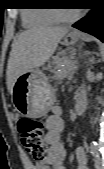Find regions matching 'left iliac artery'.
<instances>
[{
	"label": "left iliac artery",
	"instance_id": "1",
	"mask_svg": "<svg viewBox=\"0 0 104 169\" xmlns=\"http://www.w3.org/2000/svg\"><path fill=\"white\" fill-rule=\"evenodd\" d=\"M90 152H91L92 156L99 157L98 146L95 141H92L90 143Z\"/></svg>",
	"mask_w": 104,
	"mask_h": 169
}]
</instances>
